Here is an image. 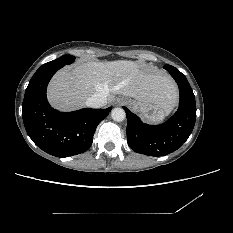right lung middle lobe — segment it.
I'll return each instance as SVG.
<instances>
[{
    "mask_svg": "<svg viewBox=\"0 0 233 233\" xmlns=\"http://www.w3.org/2000/svg\"><path fill=\"white\" fill-rule=\"evenodd\" d=\"M74 60H75L74 56H72V55H64V56H61L60 58H58L56 60H53V61H50L48 63L43 64L39 69L47 68V67H52V66H58V65L61 66V67H63L66 64L73 63Z\"/></svg>",
    "mask_w": 233,
    "mask_h": 233,
    "instance_id": "right-lung-middle-lobe-1",
    "label": "right lung middle lobe"
}]
</instances>
